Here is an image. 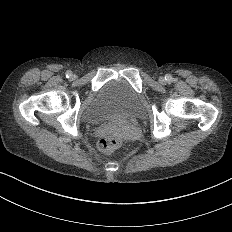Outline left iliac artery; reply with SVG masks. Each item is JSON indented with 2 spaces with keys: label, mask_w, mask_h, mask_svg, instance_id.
Here are the masks:
<instances>
[{
  "label": "left iliac artery",
  "mask_w": 232,
  "mask_h": 232,
  "mask_svg": "<svg viewBox=\"0 0 232 232\" xmlns=\"http://www.w3.org/2000/svg\"><path fill=\"white\" fill-rule=\"evenodd\" d=\"M165 80H166L167 82H171V81L173 80L172 75H171V74H166V75H165Z\"/></svg>",
  "instance_id": "1"
}]
</instances>
